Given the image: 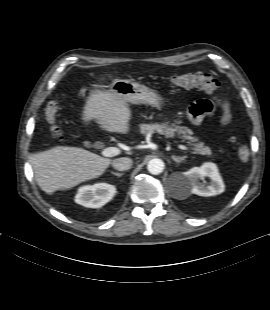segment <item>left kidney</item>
Here are the masks:
<instances>
[{"instance_id": "5707ae66", "label": "left kidney", "mask_w": 270, "mask_h": 310, "mask_svg": "<svg viewBox=\"0 0 270 310\" xmlns=\"http://www.w3.org/2000/svg\"><path fill=\"white\" fill-rule=\"evenodd\" d=\"M181 189L185 194H196L199 196H215L225 191V185L214 163L207 162L201 167H193L181 175ZM210 178L208 186L199 182V179Z\"/></svg>"}]
</instances>
